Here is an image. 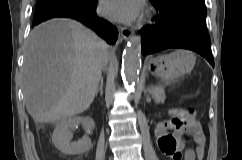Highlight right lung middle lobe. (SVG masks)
<instances>
[{
  "label": "right lung middle lobe",
  "mask_w": 242,
  "mask_h": 160,
  "mask_svg": "<svg viewBox=\"0 0 242 160\" xmlns=\"http://www.w3.org/2000/svg\"><path fill=\"white\" fill-rule=\"evenodd\" d=\"M89 1L90 0H37L36 9L56 2L70 3V4H85V3H88Z\"/></svg>",
  "instance_id": "1"
}]
</instances>
